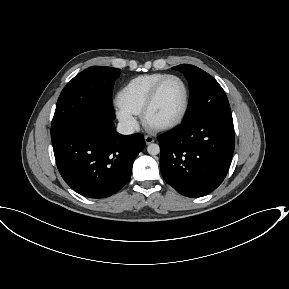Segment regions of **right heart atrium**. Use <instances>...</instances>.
Listing matches in <instances>:
<instances>
[{
    "label": "right heart atrium",
    "mask_w": 289,
    "mask_h": 289,
    "mask_svg": "<svg viewBox=\"0 0 289 289\" xmlns=\"http://www.w3.org/2000/svg\"><path fill=\"white\" fill-rule=\"evenodd\" d=\"M116 116L128 129L132 130L137 127L138 122L135 115L121 107L119 104L116 108Z\"/></svg>",
    "instance_id": "right-heart-atrium-1"
}]
</instances>
